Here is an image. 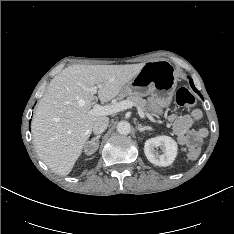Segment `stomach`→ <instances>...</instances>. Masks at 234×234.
I'll list each match as a JSON object with an SVG mask.
<instances>
[{
  "label": "stomach",
  "mask_w": 234,
  "mask_h": 234,
  "mask_svg": "<svg viewBox=\"0 0 234 234\" xmlns=\"http://www.w3.org/2000/svg\"><path fill=\"white\" fill-rule=\"evenodd\" d=\"M176 87L177 78L170 64L162 61L148 62L123 86L119 95L122 97L151 95L159 106L167 107L172 102Z\"/></svg>",
  "instance_id": "1"
}]
</instances>
